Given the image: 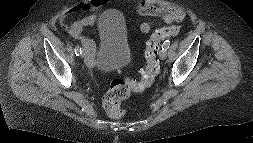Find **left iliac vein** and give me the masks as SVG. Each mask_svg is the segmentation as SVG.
I'll list each match as a JSON object with an SVG mask.
<instances>
[{"label":"left iliac vein","instance_id":"left-iliac-vein-1","mask_svg":"<svg viewBox=\"0 0 253 143\" xmlns=\"http://www.w3.org/2000/svg\"><path fill=\"white\" fill-rule=\"evenodd\" d=\"M160 59L164 60L167 57V52L165 50H162L159 54Z\"/></svg>","mask_w":253,"mask_h":143}]
</instances>
